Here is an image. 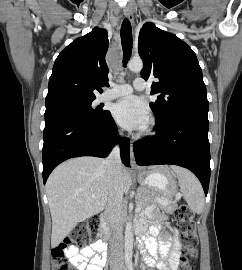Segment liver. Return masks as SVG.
<instances>
[{
	"label": "liver",
	"instance_id": "obj_1",
	"mask_svg": "<svg viewBox=\"0 0 242 270\" xmlns=\"http://www.w3.org/2000/svg\"><path fill=\"white\" fill-rule=\"evenodd\" d=\"M124 193L132 186L129 171L122 168ZM52 217L51 246L57 247L73 228L107 205L110 179L105 160L83 156L70 159L54 169L46 183Z\"/></svg>",
	"mask_w": 242,
	"mask_h": 270
}]
</instances>
